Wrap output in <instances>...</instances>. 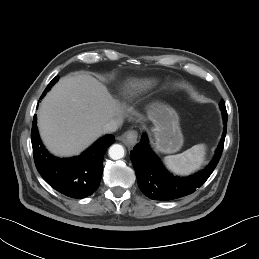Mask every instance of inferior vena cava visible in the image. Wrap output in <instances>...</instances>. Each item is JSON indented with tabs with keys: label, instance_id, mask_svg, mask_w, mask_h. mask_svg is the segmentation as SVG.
<instances>
[{
	"label": "inferior vena cava",
	"instance_id": "inferior-vena-cava-1",
	"mask_svg": "<svg viewBox=\"0 0 259 259\" xmlns=\"http://www.w3.org/2000/svg\"><path fill=\"white\" fill-rule=\"evenodd\" d=\"M120 125H121V120L112 119L111 121H109L108 123H106L103 126V131L105 133L115 132L119 128Z\"/></svg>",
	"mask_w": 259,
	"mask_h": 259
}]
</instances>
